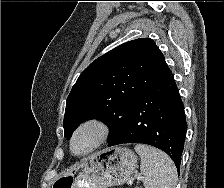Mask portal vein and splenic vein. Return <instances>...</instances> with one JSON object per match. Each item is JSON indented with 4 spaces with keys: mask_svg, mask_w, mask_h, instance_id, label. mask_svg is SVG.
I'll use <instances>...</instances> for the list:
<instances>
[{
    "mask_svg": "<svg viewBox=\"0 0 224 188\" xmlns=\"http://www.w3.org/2000/svg\"><path fill=\"white\" fill-rule=\"evenodd\" d=\"M138 180H142V177L139 176V177H138ZM132 183H133L132 181H129V182H128V185H132Z\"/></svg>",
    "mask_w": 224,
    "mask_h": 188,
    "instance_id": "18ae733b",
    "label": "portal vein and splenic vein"
}]
</instances>
